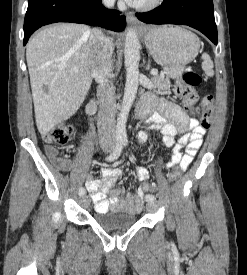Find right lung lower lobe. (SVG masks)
I'll return each instance as SVG.
<instances>
[{
    "mask_svg": "<svg viewBox=\"0 0 247 275\" xmlns=\"http://www.w3.org/2000/svg\"><path fill=\"white\" fill-rule=\"evenodd\" d=\"M119 14L103 7L101 0H28L24 45L38 28L56 22L84 23L120 32L126 26V19Z\"/></svg>",
    "mask_w": 247,
    "mask_h": 275,
    "instance_id": "1",
    "label": "right lung lower lobe"
}]
</instances>
